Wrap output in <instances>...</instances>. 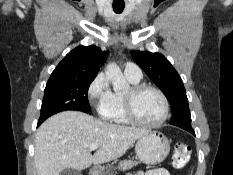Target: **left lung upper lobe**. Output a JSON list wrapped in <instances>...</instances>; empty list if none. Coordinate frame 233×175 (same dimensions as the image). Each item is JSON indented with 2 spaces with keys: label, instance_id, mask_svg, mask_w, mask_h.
<instances>
[{
  "label": "left lung upper lobe",
  "instance_id": "obj_1",
  "mask_svg": "<svg viewBox=\"0 0 233 175\" xmlns=\"http://www.w3.org/2000/svg\"><path fill=\"white\" fill-rule=\"evenodd\" d=\"M133 60L162 90L172 108L170 124L191 129L188 99L181 77L171 63L160 53L132 51Z\"/></svg>",
  "mask_w": 233,
  "mask_h": 175
}]
</instances>
